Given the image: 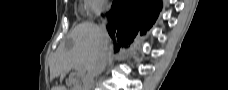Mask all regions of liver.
Returning a JSON list of instances; mask_svg holds the SVG:
<instances>
[{
	"mask_svg": "<svg viewBox=\"0 0 228 90\" xmlns=\"http://www.w3.org/2000/svg\"><path fill=\"white\" fill-rule=\"evenodd\" d=\"M69 38L73 40L74 46L66 49L65 45L62 44L54 53L50 62V80L60 75L64 76L72 68L79 67L84 72H87L84 78L85 82L88 78V72L100 52V27L92 22H82L72 30ZM52 90H66V87L54 86Z\"/></svg>",
	"mask_w": 228,
	"mask_h": 90,
	"instance_id": "obj_1",
	"label": "liver"
}]
</instances>
